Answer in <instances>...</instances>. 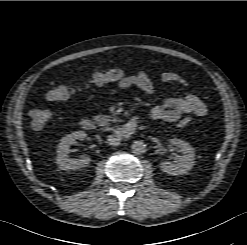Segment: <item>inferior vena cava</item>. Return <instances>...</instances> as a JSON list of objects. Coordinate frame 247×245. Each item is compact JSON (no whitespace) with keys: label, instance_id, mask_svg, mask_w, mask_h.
<instances>
[{"label":"inferior vena cava","instance_id":"602c4592","mask_svg":"<svg viewBox=\"0 0 247 245\" xmlns=\"http://www.w3.org/2000/svg\"><path fill=\"white\" fill-rule=\"evenodd\" d=\"M108 143L111 145V146H118L120 144V138L118 136H115V135H109L108 136Z\"/></svg>","mask_w":247,"mask_h":245}]
</instances>
